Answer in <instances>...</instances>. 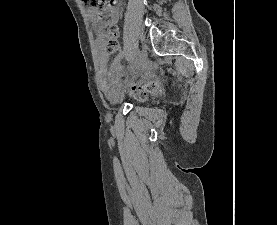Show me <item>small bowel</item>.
Listing matches in <instances>:
<instances>
[{"label": "small bowel", "mask_w": 277, "mask_h": 225, "mask_svg": "<svg viewBox=\"0 0 277 225\" xmlns=\"http://www.w3.org/2000/svg\"><path fill=\"white\" fill-rule=\"evenodd\" d=\"M90 16L93 17V14L90 13ZM108 16V23L115 25L119 17V8H109ZM94 24L97 28H100L101 18H94ZM115 36H117V32H115ZM97 50L99 83L104 94L111 95L112 93L120 91L123 85L129 84L128 74L121 65V61L127 56V53L120 51L111 65L108 66L109 54L104 51L100 41L97 44ZM129 72H131L133 78L140 76L143 80L155 82L152 69H147L145 65L143 67L132 65L129 67Z\"/></svg>", "instance_id": "obj_1"}]
</instances>
